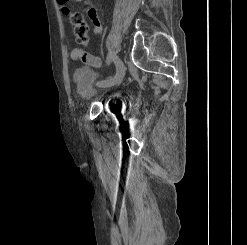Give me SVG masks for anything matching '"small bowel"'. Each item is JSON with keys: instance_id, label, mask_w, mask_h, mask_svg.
<instances>
[{"instance_id": "small-bowel-1", "label": "small bowel", "mask_w": 247, "mask_h": 245, "mask_svg": "<svg viewBox=\"0 0 247 245\" xmlns=\"http://www.w3.org/2000/svg\"><path fill=\"white\" fill-rule=\"evenodd\" d=\"M74 1L80 2L82 0H74ZM85 1L87 4V9H86L87 15L90 18L91 22L93 23V34L97 36L102 31V22L98 16L96 9L93 6H91L87 2V0ZM57 2L60 6H62V11L65 15H69L71 13L70 9L66 6L68 0H57ZM70 57L74 61H81L82 63L93 67H99L101 64L100 58L92 55L90 52L85 51L81 48H74L70 52Z\"/></svg>"}]
</instances>
